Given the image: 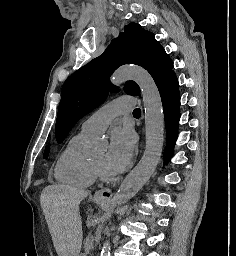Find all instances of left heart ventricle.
I'll return each instance as SVG.
<instances>
[{
    "mask_svg": "<svg viewBox=\"0 0 236 256\" xmlns=\"http://www.w3.org/2000/svg\"><path fill=\"white\" fill-rule=\"evenodd\" d=\"M106 157H107V153H106V151H104V152L98 154L93 161L95 163H97L98 165H100L101 167H103L107 172H110L106 165ZM110 173H112V172H110Z\"/></svg>",
    "mask_w": 236,
    "mask_h": 256,
    "instance_id": "left-heart-ventricle-1",
    "label": "left heart ventricle"
}]
</instances>
